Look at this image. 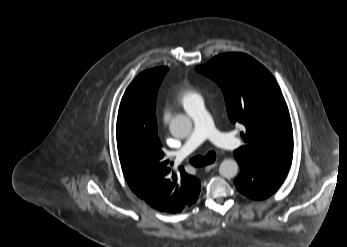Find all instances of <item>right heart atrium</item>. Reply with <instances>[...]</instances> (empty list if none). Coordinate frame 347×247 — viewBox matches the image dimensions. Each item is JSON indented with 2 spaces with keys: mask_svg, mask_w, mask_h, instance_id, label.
<instances>
[{
  "mask_svg": "<svg viewBox=\"0 0 347 247\" xmlns=\"http://www.w3.org/2000/svg\"><path fill=\"white\" fill-rule=\"evenodd\" d=\"M162 119H163L164 122H167L168 119H169L168 115L167 114H163Z\"/></svg>",
  "mask_w": 347,
  "mask_h": 247,
  "instance_id": "1",
  "label": "right heart atrium"
}]
</instances>
